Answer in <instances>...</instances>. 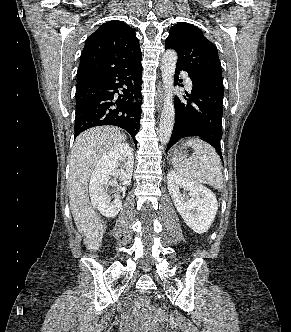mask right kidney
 Masks as SVG:
<instances>
[{
  "label": "right kidney",
  "instance_id": "obj_1",
  "mask_svg": "<svg viewBox=\"0 0 291 332\" xmlns=\"http://www.w3.org/2000/svg\"><path fill=\"white\" fill-rule=\"evenodd\" d=\"M133 150L128 144H118L111 151L107 152L95 167L89 184L91 202L100 213L107 218L117 216L122 207L120 195H115L113 202L105 189L108 186H115L116 179L120 184L129 185L133 171ZM114 180H111V177ZM116 191H124L119 187Z\"/></svg>",
  "mask_w": 291,
  "mask_h": 332
}]
</instances>
